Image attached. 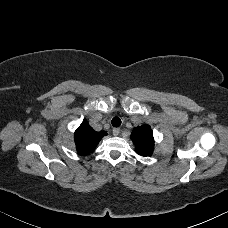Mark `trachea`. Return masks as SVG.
Segmentation results:
<instances>
[{"label":"trachea","mask_w":228,"mask_h":228,"mask_svg":"<svg viewBox=\"0 0 228 228\" xmlns=\"http://www.w3.org/2000/svg\"><path fill=\"white\" fill-rule=\"evenodd\" d=\"M112 126L119 127L121 125V119L118 116H115L111 121Z\"/></svg>","instance_id":"1"}]
</instances>
